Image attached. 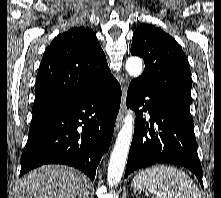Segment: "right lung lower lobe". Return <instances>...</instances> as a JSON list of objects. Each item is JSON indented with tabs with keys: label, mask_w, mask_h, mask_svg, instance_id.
<instances>
[{
	"label": "right lung lower lobe",
	"mask_w": 221,
	"mask_h": 198,
	"mask_svg": "<svg viewBox=\"0 0 221 198\" xmlns=\"http://www.w3.org/2000/svg\"><path fill=\"white\" fill-rule=\"evenodd\" d=\"M120 102L121 87L114 78L32 120L21 156L20 177L41 165L65 164L81 170L93 181L96 168L109 149Z\"/></svg>",
	"instance_id": "1"
}]
</instances>
